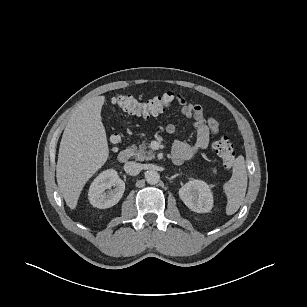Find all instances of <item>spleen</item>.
I'll return each mask as SVG.
<instances>
[{"instance_id":"1","label":"spleen","mask_w":307,"mask_h":307,"mask_svg":"<svg viewBox=\"0 0 307 307\" xmlns=\"http://www.w3.org/2000/svg\"><path fill=\"white\" fill-rule=\"evenodd\" d=\"M223 188L227 196L226 214L232 215L238 211L247 189L246 165L242 155L235 159L232 177Z\"/></svg>"}]
</instances>
